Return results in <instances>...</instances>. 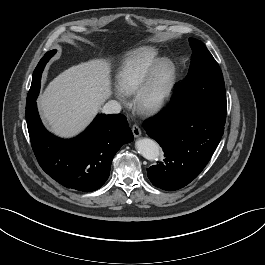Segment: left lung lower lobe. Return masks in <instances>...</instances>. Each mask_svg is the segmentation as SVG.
I'll return each mask as SVG.
<instances>
[{
  "instance_id": "left-lung-lower-lobe-1",
  "label": "left lung lower lobe",
  "mask_w": 265,
  "mask_h": 265,
  "mask_svg": "<svg viewBox=\"0 0 265 265\" xmlns=\"http://www.w3.org/2000/svg\"><path fill=\"white\" fill-rule=\"evenodd\" d=\"M225 122L191 105L170 106L144 123L147 134L165 153L164 162L147 169L152 184L180 189L193 181L209 162L224 132Z\"/></svg>"
}]
</instances>
